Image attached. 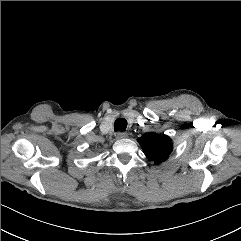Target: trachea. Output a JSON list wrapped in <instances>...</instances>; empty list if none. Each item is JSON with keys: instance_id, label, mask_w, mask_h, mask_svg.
<instances>
[{"instance_id": "1", "label": "trachea", "mask_w": 241, "mask_h": 241, "mask_svg": "<svg viewBox=\"0 0 241 241\" xmlns=\"http://www.w3.org/2000/svg\"><path fill=\"white\" fill-rule=\"evenodd\" d=\"M127 127V120L124 118H118L114 122V130L115 131H125Z\"/></svg>"}]
</instances>
